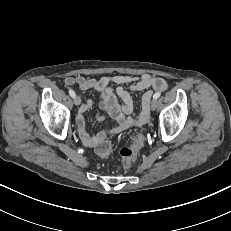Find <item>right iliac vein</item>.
<instances>
[{
  "instance_id": "right-iliac-vein-1",
  "label": "right iliac vein",
  "mask_w": 231,
  "mask_h": 231,
  "mask_svg": "<svg viewBox=\"0 0 231 231\" xmlns=\"http://www.w3.org/2000/svg\"><path fill=\"white\" fill-rule=\"evenodd\" d=\"M74 103L75 105L79 106L81 104V98L79 96L74 97Z\"/></svg>"
}]
</instances>
